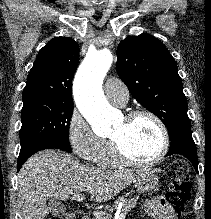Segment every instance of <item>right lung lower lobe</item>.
<instances>
[{"label":"right lung lower lobe","instance_id":"98d812e1","mask_svg":"<svg viewBox=\"0 0 211 219\" xmlns=\"http://www.w3.org/2000/svg\"><path fill=\"white\" fill-rule=\"evenodd\" d=\"M51 148H55V149H60L66 152L71 153L72 149H69L65 146H62L60 144L57 143H52V142H41V143H37L34 144L24 150L20 151L19 157H18V164H17V171L20 170V168L22 167V165L24 164V162L34 153L40 151V150H44V149H51Z\"/></svg>","mask_w":211,"mask_h":219}]
</instances>
